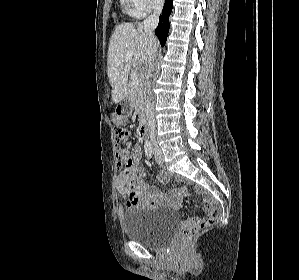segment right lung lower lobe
Wrapping results in <instances>:
<instances>
[{
  "label": "right lung lower lobe",
  "instance_id": "98d812e1",
  "mask_svg": "<svg viewBox=\"0 0 299 280\" xmlns=\"http://www.w3.org/2000/svg\"><path fill=\"white\" fill-rule=\"evenodd\" d=\"M172 2L173 0H166L164 8L162 10V15L159 18L158 27L155 29V34L159 38L161 46L165 45L168 31H169V16L172 11Z\"/></svg>",
  "mask_w": 299,
  "mask_h": 280
}]
</instances>
